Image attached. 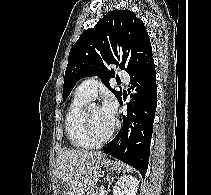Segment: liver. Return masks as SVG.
<instances>
[{
  "mask_svg": "<svg viewBox=\"0 0 211 195\" xmlns=\"http://www.w3.org/2000/svg\"><path fill=\"white\" fill-rule=\"evenodd\" d=\"M103 155L100 151L69 149L58 156L55 175L58 183L67 188V194L78 195L91 188L89 175L98 167ZM63 194L62 190L56 192V195Z\"/></svg>",
  "mask_w": 211,
  "mask_h": 195,
  "instance_id": "liver-1",
  "label": "liver"
}]
</instances>
